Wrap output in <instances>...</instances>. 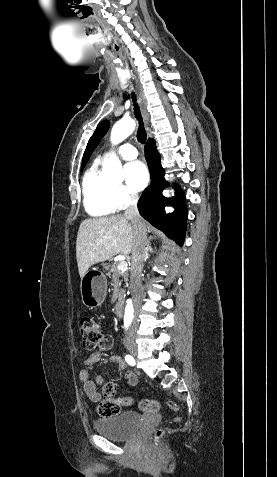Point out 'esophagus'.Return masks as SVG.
Returning <instances> with one entry per match:
<instances>
[{
    "mask_svg": "<svg viewBox=\"0 0 277 477\" xmlns=\"http://www.w3.org/2000/svg\"><path fill=\"white\" fill-rule=\"evenodd\" d=\"M134 79H135L136 89L138 92V99H139L141 114L144 120L145 127L148 129L149 128V113L147 111L146 97L140 82L138 81L136 77H134Z\"/></svg>",
    "mask_w": 277,
    "mask_h": 477,
    "instance_id": "esophagus-1",
    "label": "esophagus"
}]
</instances>
